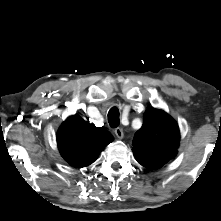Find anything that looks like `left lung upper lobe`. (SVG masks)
<instances>
[{
	"label": "left lung upper lobe",
	"instance_id": "left-lung-upper-lobe-1",
	"mask_svg": "<svg viewBox=\"0 0 221 221\" xmlns=\"http://www.w3.org/2000/svg\"><path fill=\"white\" fill-rule=\"evenodd\" d=\"M178 143L177 123L164 111L150 108L144 113L132 150L142 166L158 169L176 155Z\"/></svg>",
	"mask_w": 221,
	"mask_h": 221
}]
</instances>
